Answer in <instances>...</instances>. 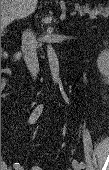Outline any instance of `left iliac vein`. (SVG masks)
<instances>
[{
    "mask_svg": "<svg viewBox=\"0 0 109 170\" xmlns=\"http://www.w3.org/2000/svg\"><path fill=\"white\" fill-rule=\"evenodd\" d=\"M74 170H82L83 167L80 165V163L77 160H73L72 162Z\"/></svg>",
    "mask_w": 109,
    "mask_h": 170,
    "instance_id": "1",
    "label": "left iliac vein"
}]
</instances>
